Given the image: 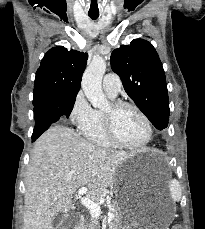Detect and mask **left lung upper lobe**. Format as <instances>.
<instances>
[{"mask_svg": "<svg viewBox=\"0 0 205 229\" xmlns=\"http://www.w3.org/2000/svg\"><path fill=\"white\" fill-rule=\"evenodd\" d=\"M111 67L128 96L159 130L168 126L169 102L162 63L153 45L134 39L111 54Z\"/></svg>", "mask_w": 205, "mask_h": 229, "instance_id": "5c2ea615", "label": "left lung upper lobe"}]
</instances>
